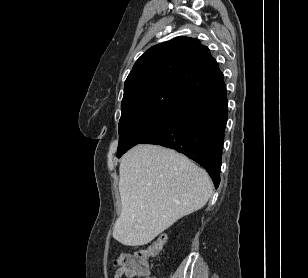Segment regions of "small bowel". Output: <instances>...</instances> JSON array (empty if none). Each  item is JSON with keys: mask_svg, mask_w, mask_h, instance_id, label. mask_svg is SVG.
<instances>
[{"mask_svg": "<svg viewBox=\"0 0 308 278\" xmlns=\"http://www.w3.org/2000/svg\"><path fill=\"white\" fill-rule=\"evenodd\" d=\"M115 278H122V275H121V274H119V273H116ZM150 278H153V277H151V276H150Z\"/></svg>", "mask_w": 308, "mask_h": 278, "instance_id": "small-bowel-1", "label": "small bowel"}]
</instances>
